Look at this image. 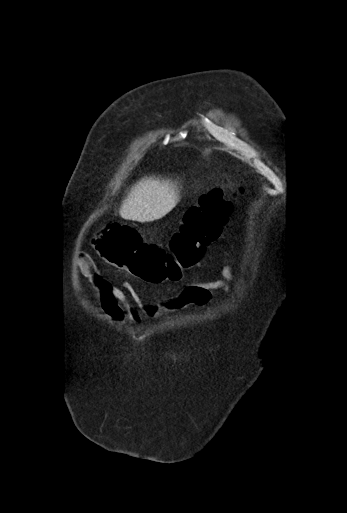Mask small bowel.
Segmentation results:
<instances>
[{
	"instance_id": "1",
	"label": "small bowel",
	"mask_w": 347,
	"mask_h": 513,
	"mask_svg": "<svg viewBox=\"0 0 347 513\" xmlns=\"http://www.w3.org/2000/svg\"><path fill=\"white\" fill-rule=\"evenodd\" d=\"M80 274L93 285L103 313L114 321L127 318L139 323L145 318H156L166 311L187 306L205 307L211 304L213 291H230L228 282L233 277L231 267H223L217 279H199L186 283L183 290L174 298L159 304H144L136 289L129 282L123 283V289L113 286L97 269L93 260L81 255L77 260Z\"/></svg>"
}]
</instances>
